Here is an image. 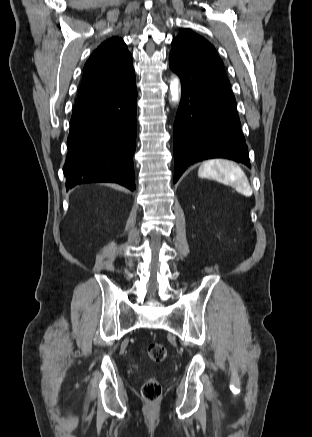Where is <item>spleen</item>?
Here are the masks:
<instances>
[{
  "label": "spleen",
  "instance_id": "3e777b00",
  "mask_svg": "<svg viewBox=\"0 0 312 437\" xmlns=\"http://www.w3.org/2000/svg\"><path fill=\"white\" fill-rule=\"evenodd\" d=\"M198 176L201 178H210L230 185L236 189L237 192L250 196L252 188L249 184L247 176L243 170L235 163L223 160H209L204 162L199 170Z\"/></svg>",
  "mask_w": 312,
  "mask_h": 437
}]
</instances>
